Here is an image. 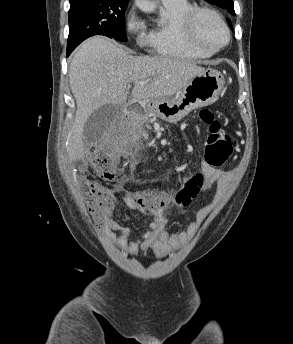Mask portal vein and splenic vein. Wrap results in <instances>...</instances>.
I'll return each mask as SVG.
<instances>
[{"label":"portal vein and splenic vein","mask_w":293,"mask_h":344,"mask_svg":"<svg viewBox=\"0 0 293 344\" xmlns=\"http://www.w3.org/2000/svg\"><path fill=\"white\" fill-rule=\"evenodd\" d=\"M147 83V81H141V82H139V84H141V85H144V84H146Z\"/></svg>","instance_id":"18ae733b"}]
</instances>
